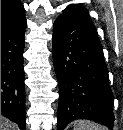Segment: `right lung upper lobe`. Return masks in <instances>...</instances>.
I'll list each match as a JSON object with an SVG mask.
<instances>
[{
    "label": "right lung upper lobe",
    "instance_id": "obj_1",
    "mask_svg": "<svg viewBox=\"0 0 123 130\" xmlns=\"http://www.w3.org/2000/svg\"><path fill=\"white\" fill-rule=\"evenodd\" d=\"M24 21L25 9L20 0H1V26L19 25Z\"/></svg>",
    "mask_w": 123,
    "mask_h": 130
}]
</instances>
